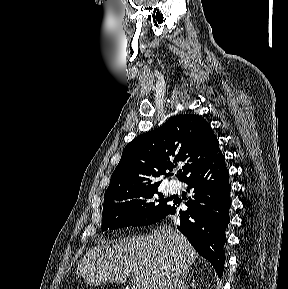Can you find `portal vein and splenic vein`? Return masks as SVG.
Returning <instances> with one entry per match:
<instances>
[{
  "mask_svg": "<svg viewBox=\"0 0 288 289\" xmlns=\"http://www.w3.org/2000/svg\"><path fill=\"white\" fill-rule=\"evenodd\" d=\"M132 289H139V285H133Z\"/></svg>",
  "mask_w": 288,
  "mask_h": 289,
  "instance_id": "obj_1",
  "label": "portal vein and splenic vein"
}]
</instances>
